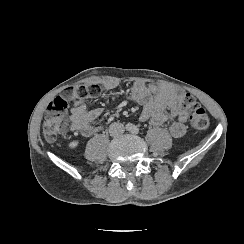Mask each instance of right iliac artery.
<instances>
[{"mask_svg":"<svg viewBox=\"0 0 244 244\" xmlns=\"http://www.w3.org/2000/svg\"><path fill=\"white\" fill-rule=\"evenodd\" d=\"M126 128L130 129V128H132V126L130 124H127Z\"/></svg>","mask_w":244,"mask_h":244,"instance_id":"1","label":"right iliac artery"}]
</instances>
